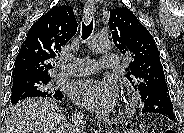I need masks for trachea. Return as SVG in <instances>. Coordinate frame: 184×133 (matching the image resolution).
I'll use <instances>...</instances> for the list:
<instances>
[{
	"label": "trachea",
	"mask_w": 184,
	"mask_h": 133,
	"mask_svg": "<svg viewBox=\"0 0 184 133\" xmlns=\"http://www.w3.org/2000/svg\"><path fill=\"white\" fill-rule=\"evenodd\" d=\"M92 30H93V19L88 24L82 23V35H81L82 40H86L91 35Z\"/></svg>",
	"instance_id": "1"
}]
</instances>
